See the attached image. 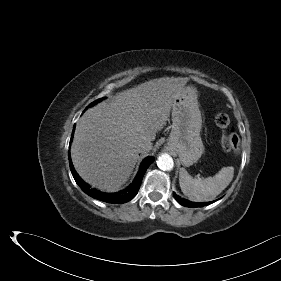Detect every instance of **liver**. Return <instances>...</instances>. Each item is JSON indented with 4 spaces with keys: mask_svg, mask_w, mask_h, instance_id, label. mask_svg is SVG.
I'll return each mask as SVG.
<instances>
[{
    "mask_svg": "<svg viewBox=\"0 0 281 281\" xmlns=\"http://www.w3.org/2000/svg\"><path fill=\"white\" fill-rule=\"evenodd\" d=\"M187 81V77L153 79L87 110L77 123L71 146L80 177L99 190L118 191L139 158L137 146L146 143L148 151L152 149Z\"/></svg>",
    "mask_w": 281,
    "mask_h": 281,
    "instance_id": "obj_1",
    "label": "liver"
}]
</instances>
